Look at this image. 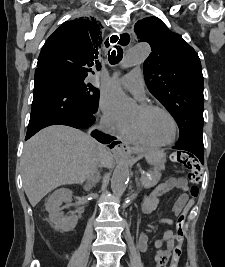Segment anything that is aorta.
<instances>
[{"mask_svg":"<svg viewBox=\"0 0 225 267\" xmlns=\"http://www.w3.org/2000/svg\"><path fill=\"white\" fill-rule=\"evenodd\" d=\"M150 46L148 44L134 45L127 56L121 62L120 66L127 69L141 64L149 55ZM107 97L111 103L119 110H125L131 105V100L125 95L118 84H111L107 91ZM129 181V167L127 163L121 162L114 169L111 178V189L116 197H121L125 192Z\"/></svg>","mask_w":225,"mask_h":267,"instance_id":"obj_1","label":"aorta"}]
</instances>
